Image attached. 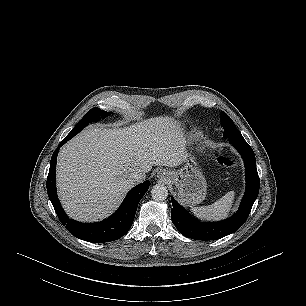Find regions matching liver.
Returning a JSON list of instances; mask_svg holds the SVG:
<instances>
[{"label":"liver","mask_w":306,"mask_h":306,"mask_svg":"<svg viewBox=\"0 0 306 306\" xmlns=\"http://www.w3.org/2000/svg\"><path fill=\"white\" fill-rule=\"evenodd\" d=\"M187 158L180 126L155 117L127 128L89 127L67 142L57 161V187L67 214L79 221L110 215L133 184L129 174L153 165L178 166Z\"/></svg>","instance_id":"1"}]
</instances>
